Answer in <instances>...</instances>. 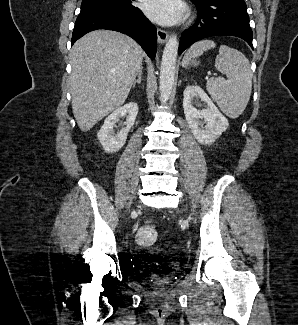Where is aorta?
<instances>
[{
    "label": "aorta",
    "instance_id": "1",
    "mask_svg": "<svg viewBox=\"0 0 298 325\" xmlns=\"http://www.w3.org/2000/svg\"><path fill=\"white\" fill-rule=\"evenodd\" d=\"M178 34H169L163 48L160 62L159 90L162 104L168 102L175 82L176 64L178 58Z\"/></svg>",
    "mask_w": 298,
    "mask_h": 325
}]
</instances>
